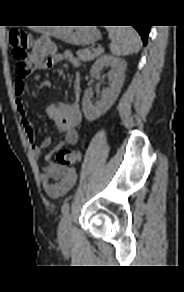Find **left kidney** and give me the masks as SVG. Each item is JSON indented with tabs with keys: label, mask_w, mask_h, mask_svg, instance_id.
Returning a JSON list of instances; mask_svg holds the SVG:
<instances>
[{
	"label": "left kidney",
	"mask_w": 184,
	"mask_h": 292,
	"mask_svg": "<svg viewBox=\"0 0 184 292\" xmlns=\"http://www.w3.org/2000/svg\"><path fill=\"white\" fill-rule=\"evenodd\" d=\"M126 62L123 59L111 55H103L92 65L90 74L92 77L100 75L105 67H111L108 73L109 87L102 91L100 100L94 104L91 101L92 92L86 90L82 99V109L88 121H94L105 114L116 101L124 82Z\"/></svg>",
	"instance_id": "left-kidney-1"
}]
</instances>
